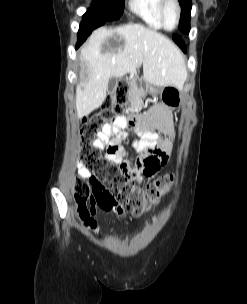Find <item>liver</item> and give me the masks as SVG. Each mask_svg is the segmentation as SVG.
Wrapping results in <instances>:
<instances>
[{"label": "liver", "instance_id": "6515ba94", "mask_svg": "<svg viewBox=\"0 0 247 304\" xmlns=\"http://www.w3.org/2000/svg\"><path fill=\"white\" fill-rule=\"evenodd\" d=\"M79 59L85 66L76 89L80 119L101 106L111 77L134 75L143 66V79L157 87L181 89L187 78L185 61L176 45L141 24L96 29L82 46Z\"/></svg>", "mask_w": 247, "mask_h": 304}]
</instances>
